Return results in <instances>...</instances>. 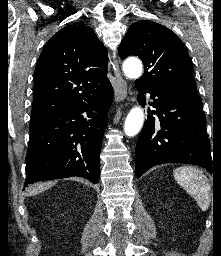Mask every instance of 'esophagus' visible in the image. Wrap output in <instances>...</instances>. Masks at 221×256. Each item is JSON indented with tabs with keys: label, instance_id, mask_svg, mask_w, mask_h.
Returning a JSON list of instances; mask_svg holds the SVG:
<instances>
[{
	"label": "esophagus",
	"instance_id": "esophagus-1",
	"mask_svg": "<svg viewBox=\"0 0 221 256\" xmlns=\"http://www.w3.org/2000/svg\"><path fill=\"white\" fill-rule=\"evenodd\" d=\"M113 68H114V72L117 80L115 100L116 102L124 101L128 94V86L126 81L122 79V77L120 76L119 66L116 58L113 59Z\"/></svg>",
	"mask_w": 221,
	"mask_h": 256
}]
</instances>
